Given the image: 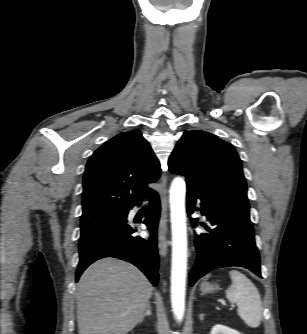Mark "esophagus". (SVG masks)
Returning a JSON list of instances; mask_svg holds the SVG:
<instances>
[{"label": "esophagus", "mask_w": 307, "mask_h": 334, "mask_svg": "<svg viewBox=\"0 0 307 334\" xmlns=\"http://www.w3.org/2000/svg\"><path fill=\"white\" fill-rule=\"evenodd\" d=\"M161 184H162V194H161V217L159 222V229H158V241H159V252L162 256H166L168 251L169 242L167 240V197H166V184H167V177L166 174L163 173L161 176Z\"/></svg>", "instance_id": "esophagus-1"}]
</instances>
